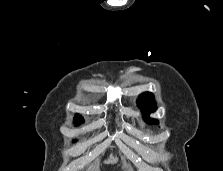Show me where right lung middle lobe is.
Segmentation results:
<instances>
[{
  "label": "right lung middle lobe",
  "mask_w": 223,
  "mask_h": 171,
  "mask_svg": "<svg viewBox=\"0 0 223 171\" xmlns=\"http://www.w3.org/2000/svg\"><path fill=\"white\" fill-rule=\"evenodd\" d=\"M75 124L78 125V124H81L84 122L82 116L78 115V116H75Z\"/></svg>",
  "instance_id": "dd1d6c3e"
}]
</instances>
